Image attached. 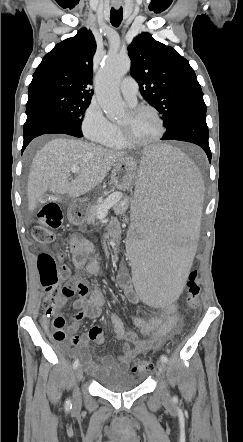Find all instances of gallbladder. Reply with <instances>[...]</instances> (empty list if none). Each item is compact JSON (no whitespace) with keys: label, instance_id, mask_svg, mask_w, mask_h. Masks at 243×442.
Wrapping results in <instances>:
<instances>
[{"label":"gallbladder","instance_id":"obj_1","mask_svg":"<svg viewBox=\"0 0 243 442\" xmlns=\"http://www.w3.org/2000/svg\"><path fill=\"white\" fill-rule=\"evenodd\" d=\"M47 199H56L59 201V200H62L63 197L61 195H59L58 193H45L38 200L40 203H43V206H44Z\"/></svg>","mask_w":243,"mask_h":442}]
</instances>
